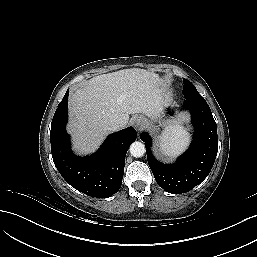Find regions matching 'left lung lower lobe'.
<instances>
[{
    "mask_svg": "<svg viewBox=\"0 0 257 257\" xmlns=\"http://www.w3.org/2000/svg\"><path fill=\"white\" fill-rule=\"evenodd\" d=\"M184 107L191 112L195 133L189 149L174 164L157 161L150 149V136L140 135L157 184L175 194L188 192L200 184L210 173L218 151L217 126L207 102L186 100Z\"/></svg>",
    "mask_w": 257,
    "mask_h": 257,
    "instance_id": "obj_1",
    "label": "left lung lower lobe"
}]
</instances>
